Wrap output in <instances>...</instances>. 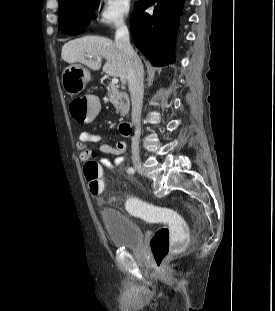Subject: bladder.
I'll return each instance as SVG.
<instances>
[{"label":"bladder","mask_w":275,"mask_h":311,"mask_svg":"<svg viewBox=\"0 0 275 311\" xmlns=\"http://www.w3.org/2000/svg\"><path fill=\"white\" fill-rule=\"evenodd\" d=\"M99 216L113 247L139 249L142 246L143 230L125 212L103 208Z\"/></svg>","instance_id":"bladder-1"}]
</instances>
